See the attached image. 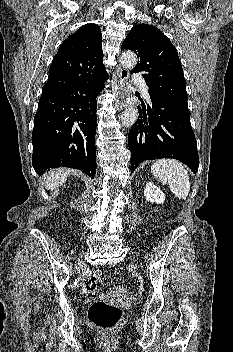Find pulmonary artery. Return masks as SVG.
I'll return each instance as SVG.
<instances>
[{
  "label": "pulmonary artery",
  "instance_id": "1",
  "mask_svg": "<svg viewBox=\"0 0 233 352\" xmlns=\"http://www.w3.org/2000/svg\"><path fill=\"white\" fill-rule=\"evenodd\" d=\"M132 80L135 83H138L142 86V91H143L144 96L148 97L147 86H146L145 81H144L143 77L141 76V74L135 73L132 77Z\"/></svg>",
  "mask_w": 233,
  "mask_h": 352
}]
</instances>
